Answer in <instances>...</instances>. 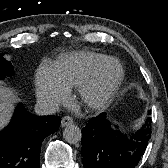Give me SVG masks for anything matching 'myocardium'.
Returning <instances> with one entry per match:
<instances>
[{
  "instance_id": "obj_1",
  "label": "myocardium",
  "mask_w": 168,
  "mask_h": 168,
  "mask_svg": "<svg viewBox=\"0 0 168 168\" xmlns=\"http://www.w3.org/2000/svg\"><path fill=\"white\" fill-rule=\"evenodd\" d=\"M113 67L114 74L104 80V74ZM124 78V69L119 60L108 57L96 66L78 86V100L89 111L105 109L113 100Z\"/></svg>"
}]
</instances>
